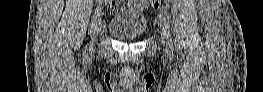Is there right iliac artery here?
Wrapping results in <instances>:
<instances>
[{"mask_svg": "<svg viewBox=\"0 0 263 92\" xmlns=\"http://www.w3.org/2000/svg\"><path fill=\"white\" fill-rule=\"evenodd\" d=\"M95 2H96V4H95V7H96V8H99L100 5L103 4V0H95Z\"/></svg>", "mask_w": 263, "mask_h": 92, "instance_id": "82829eb1", "label": "right iliac artery"}]
</instances>
